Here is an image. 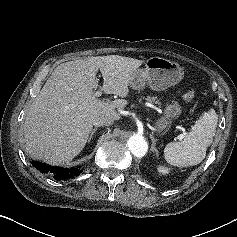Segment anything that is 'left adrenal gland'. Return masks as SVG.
Listing matches in <instances>:
<instances>
[{
    "mask_svg": "<svg viewBox=\"0 0 237 237\" xmlns=\"http://www.w3.org/2000/svg\"><path fill=\"white\" fill-rule=\"evenodd\" d=\"M150 138L152 140V146H151V151L154 152L156 154V156H158V150L156 147V139L154 138V136L152 134H150Z\"/></svg>",
    "mask_w": 237,
    "mask_h": 237,
    "instance_id": "obj_1",
    "label": "left adrenal gland"
}]
</instances>
